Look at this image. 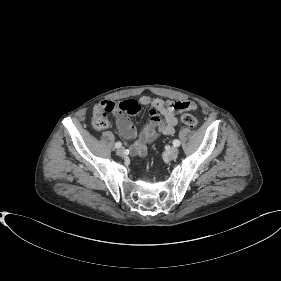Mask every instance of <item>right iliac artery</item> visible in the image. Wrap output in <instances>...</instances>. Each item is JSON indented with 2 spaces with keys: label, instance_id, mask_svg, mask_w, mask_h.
Segmentation results:
<instances>
[{
  "label": "right iliac artery",
  "instance_id": "82829eb1",
  "mask_svg": "<svg viewBox=\"0 0 281 281\" xmlns=\"http://www.w3.org/2000/svg\"><path fill=\"white\" fill-rule=\"evenodd\" d=\"M121 146H122V143H121V142H116V143H115V147H116V148H119V147H121Z\"/></svg>",
  "mask_w": 281,
  "mask_h": 281
}]
</instances>
